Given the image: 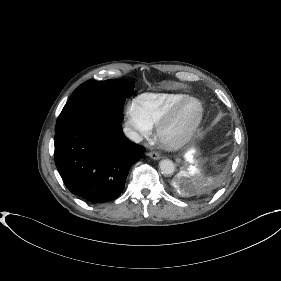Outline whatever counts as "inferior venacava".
Returning a JSON list of instances; mask_svg holds the SVG:
<instances>
[{
  "instance_id": "602c4592",
  "label": "inferior vena cava",
  "mask_w": 281,
  "mask_h": 281,
  "mask_svg": "<svg viewBox=\"0 0 281 281\" xmlns=\"http://www.w3.org/2000/svg\"><path fill=\"white\" fill-rule=\"evenodd\" d=\"M123 131H124V134L126 135V137H128L133 142L139 143L142 141L141 136L137 132L133 131L132 129L125 127L123 129Z\"/></svg>"
}]
</instances>
